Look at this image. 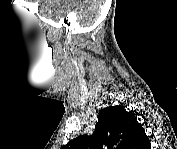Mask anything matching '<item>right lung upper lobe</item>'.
<instances>
[{
	"label": "right lung upper lobe",
	"instance_id": "obj_1",
	"mask_svg": "<svg viewBox=\"0 0 177 149\" xmlns=\"http://www.w3.org/2000/svg\"><path fill=\"white\" fill-rule=\"evenodd\" d=\"M149 142L133 112L124 106H109L99 112L93 135H80L64 149H145Z\"/></svg>",
	"mask_w": 177,
	"mask_h": 149
}]
</instances>
